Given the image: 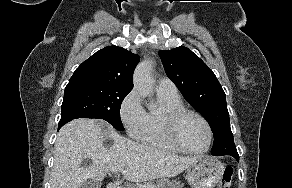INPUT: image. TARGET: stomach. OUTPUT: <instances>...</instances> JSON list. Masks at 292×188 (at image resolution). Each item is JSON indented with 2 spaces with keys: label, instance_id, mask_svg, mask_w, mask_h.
Returning a JSON list of instances; mask_svg holds the SVG:
<instances>
[{
  "label": "stomach",
  "instance_id": "1",
  "mask_svg": "<svg viewBox=\"0 0 292 188\" xmlns=\"http://www.w3.org/2000/svg\"><path fill=\"white\" fill-rule=\"evenodd\" d=\"M224 165L210 156H201L187 168L186 179L191 188H214L222 179Z\"/></svg>",
  "mask_w": 292,
  "mask_h": 188
}]
</instances>
